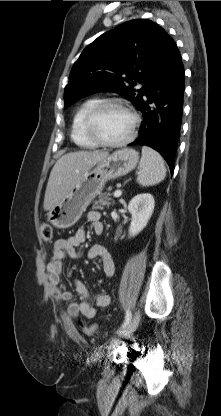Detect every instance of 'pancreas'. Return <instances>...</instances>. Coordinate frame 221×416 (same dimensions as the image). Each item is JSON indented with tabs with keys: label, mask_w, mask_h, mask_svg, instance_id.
I'll return each instance as SVG.
<instances>
[{
	"label": "pancreas",
	"mask_w": 221,
	"mask_h": 416,
	"mask_svg": "<svg viewBox=\"0 0 221 416\" xmlns=\"http://www.w3.org/2000/svg\"><path fill=\"white\" fill-rule=\"evenodd\" d=\"M109 196V193L101 195L98 200L94 201L92 208L103 210L104 206L109 207L111 205L112 200L111 198H109Z\"/></svg>",
	"instance_id": "1"
}]
</instances>
